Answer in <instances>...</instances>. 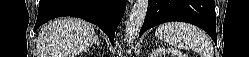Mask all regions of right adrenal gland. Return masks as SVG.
<instances>
[{
    "label": "right adrenal gland",
    "instance_id": "right-adrenal-gland-1",
    "mask_svg": "<svg viewBox=\"0 0 249 57\" xmlns=\"http://www.w3.org/2000/svg\"><path fill=\"white\" fill-rule=\"evenodd\" d=\"M94 44L97 45V46L100 45V42L98 41V37H95Z\"/></svg>",
    "mask_w": 249,
    "mask_h": 57
}]
</instances>
